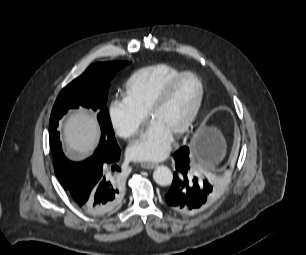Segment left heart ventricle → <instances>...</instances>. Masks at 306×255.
<instances>
[{
	"label": "left heart ventricle",
	"instance_id": "b2bd125f",
	"mask_svg": "<svg viewBox=\"0 0 306 255\" xmlns=\"http://www.w3.org/2000/svg\"><path fill=\"white\" fill-rule=\"evenodd\" d=\"M198 95L197 81L192 77L183 79L150 120L160 124L174 135L189 116Z\"/></svg>",
	"mask_w": 306,
	"mask_h": 255
}]
</instances>
